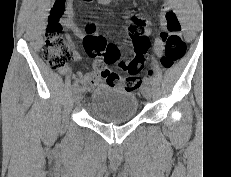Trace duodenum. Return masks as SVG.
<instances>
[{"label":"duodenum","mask_w":231,"mask_h":177,"mask_svg":"<svg viewBox=\"0 0 231 177\" xmlns=\"http://www.w3.org/2000/svg\"><path fill=\"white\" fill-rule=\"evenodd\" d=\"M101 1L105 2V1H109V0H101Z\"/></svg>","instance_id":"duodenum-1"}]
</instances>
